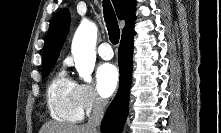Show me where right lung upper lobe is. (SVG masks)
Masks as SVG:
<instances>
[{
	"instance_id": "cb5924a9",
	"label": "right lung upper lobe",
	"mask_w": 221,
	"mask_h": 133,
	"mask_svg": "<svg viewBox=\"0 0 221 133\" xmlns=\"http://www.w3.org/2000/svg\"><path fill=\"white\" fill-rule=\"evenodd\" d=\"M117 16L125 20L122 36L134 32L135 0H112ZM70 15L67 9L60 10L51 20L43 50V66L54 63L69 29Z\"/></svg>"
}]
</instances>
